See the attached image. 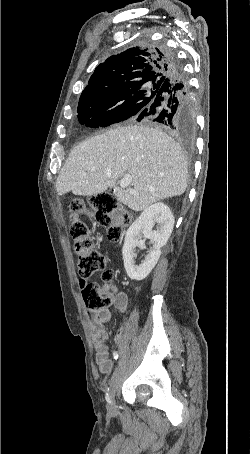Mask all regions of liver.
<instances>
[{
	"mask_svg": "<svg viewBox=\"0 0 250 454\" xmlns=\"http://www.w3.org/2000/svg\"><path fill=\"white\" fill-rule=\"evenodd\" d=\"M130 175L129 186L117 180ZM115 188L117 200L134 211L182 195L187 188V163L179 145L166 133L143 125L117 127L78 144L56 182L58 195L79 196Z\"/></svg>",
	"mask_w": 250,
	"mask_h": 454,
	"instance_id": "liver-1",
	"label": "liver"
}]
</instances>
